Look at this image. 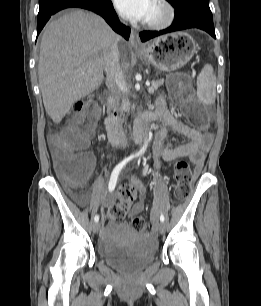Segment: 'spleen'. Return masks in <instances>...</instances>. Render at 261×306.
Wrapping results in <instances>:
<instances>
[{
    "mask_svg": "<svg viewBox=\"0 0 261 306\" xmlns=\"http://www.w3.org/2000/svg\"><path fill=\"white\" fill-rule=\"evenodd\" d=\"M197 96L203 104H212L216 97V76L213 67L206 64L197 77Z\"/></svg>",
    "mask_w": 261,
    "mask_h": 306,
    "instance_id": "1",
    "label": "spleen"
}]
</instances>
